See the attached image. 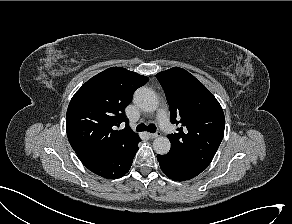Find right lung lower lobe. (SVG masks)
I'll list each match as a JSON object with an SVG mask.
<instances>
[{
  "label": "right lung lower lobe",
  "instance_id": "98d812e1",
  "mask_svg": "<svg viewBox=\"0 0 292 224\" xmlns=\"http://www.w3.org/2000/svg\"><path fill=\"white\" fill-rule=\"evenodd\" d=\"M140 141L139 139L125 150L78 149L75 152L84 166L93 173L107 179H116L129 171Z\"/></svg>",
  "mask_w": 292,
  "mask_h": 224
}]
</instances>
